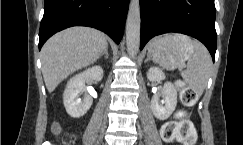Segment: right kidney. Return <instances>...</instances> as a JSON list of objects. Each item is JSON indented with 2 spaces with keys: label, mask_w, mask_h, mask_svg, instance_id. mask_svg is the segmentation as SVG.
Listing matches in <instances>:
<instances>
[{
  "label": "right kidney",
  "mask_w": 243,
  "mask_h": 145,
  "mask_svg": "<svg viewBox=\"0 0 243 145\" xmlns=\"http://www.w3.org/2000/svg\"><path fill=\"white\" fill-rule=\"evenodd\" d=\"M102 78L103 69L100 66H94L73 76L68 81L63 94V103L71 117H82L92 105V98L89 95L85 94L83 101L79 98V95L85 91L86 80L101 81Z\"/></svg>",
  "instance_id": "obj_1"
}]
</instances>
